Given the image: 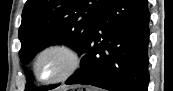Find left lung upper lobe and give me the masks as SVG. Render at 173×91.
I'll use <instances>...</instances> for the list:
<instances>
[{"label":"left lung upper lobe","mask_w":173,"mask_h":91,"mask_svg":"<svg viewBox=\"0 0 173 91\" xmlns=\"http://www.w3.org/2000/svg\"><path fill=\"white\" fill-rule=\"evenodd\" d=\"M108 0H27L19 28L20 59L28 64L37 52L52 44H66L83 53ZM25 91L38 90L30 81ZM53 87V86H51ZM42 87L39 90H48Z\"/></svg>","instance_id":"obj_1"}]
</instances>
